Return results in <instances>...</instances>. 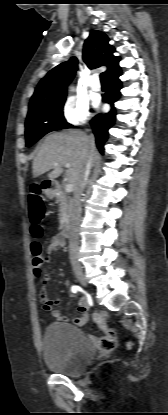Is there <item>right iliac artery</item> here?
I'll list each match as a JSON object with an SVG mask.
<instances>
[{"instance_id": "1", "label": "right iliac artery", "mask_w": 168, "mask_h": 415, "mask_svg": "<svg viewBox=\"0 0 168 415\" xmlns=\"http://www.w3.org/2000/svg\"><path fill=\"white\" fill-rule=\"evenodd\" d=\"M79 290H80V287H79V286H77V285H73V286L71 287V291H72L73 293H77Z\"/></svg>"}]
</instances>
